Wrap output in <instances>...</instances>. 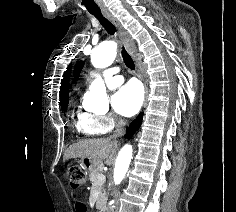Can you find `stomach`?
<instances>
[{"label": "stomach", "instance_id": "1", "mask_svg": "<svg viewBox=\"0 0 236 212\" xmlns=\"http://www.w3.org/2000/svg\"><path fill=\"white\" fill-rule=\"evenodd\" d=\"M100 162L96 159H92L90 157H85L80 160V165L81 167L87 171V172H92L99 166Z\"/></svg>", "mask_w": 236, "mask_h": 212}]
</instances>
